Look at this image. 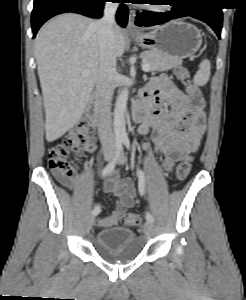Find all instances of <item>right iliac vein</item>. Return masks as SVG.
<instances>
[{
  "label": "right iliac vein",
  "mask_w": 246,
  "mask_h": 300,
  "mask_svg": "<svg viewBox=\"0 0 246 300\" xmlns=\"http://www.w3.org/2000/svg\"><path fill=\"white\" fill-rule=\"evenodd\" d=\"M112 157H113V153H112V152H106V153L104 154V158H105L106 161L111 160ZM93 222H94V215H90V216L88 217V221H87V223H88V228H90V227L93 225Z\"/></svg>",
  "instance_id": "1"
}]
</instances>
